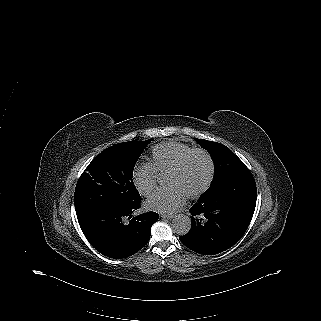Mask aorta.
<instances>
[{"label":"aorta","mask_w":321,"mask_h":321,"mask_svg":"<svg viewBox=\"0 0 321 321\" xmlns=\"http://www.w3.org/2000/svg\"><path fill=\"white\" fill-rule=\"evenodd\" d=\"M191 218L185 214L175 215L172 220V228L179 235H184L191 229Z\"/></svg>","instance_id":"1"}]
</instances>
